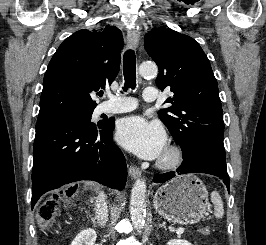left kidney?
I'll return each instance as SVG.
<instances>
[{
	"label": "left kidney",
	"instance_id": "obj_1",
	"mask_svg": "<svg viewBox=\"0 0 266 245\" xmlns=\"http://www.w3.org/2000/svg\"><path fill=\"white\" fill-rule=\"evenodd\" d=\"M167 245H191V243L184 241V239H172V241H168Z\"/></svg>",
	"mask_w": 266,
	"mask_h": 245
}]
</instances>
